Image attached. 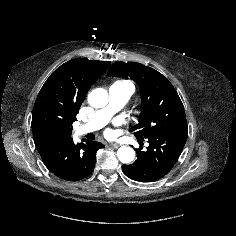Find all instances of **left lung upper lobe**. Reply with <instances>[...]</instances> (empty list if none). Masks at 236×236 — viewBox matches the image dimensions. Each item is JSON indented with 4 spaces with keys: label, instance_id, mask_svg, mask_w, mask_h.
I'll return each instance as SVG.
<instances>
[{
    "label": "left lung upper lobe",
    "instance_id": "1",
    "mask_svg": "<svg viewBox=\"0 0 236 236\" xmlns=\"http://www.w3.org/2000/svg\"><path fill=\"white\" fill-rule=\"evenodd\" d=\"M108 76L130 77L141 92L139 123L131 128L137 139L187 126L182 101L170 81L151 67L136 62H116Z\"/></svg>",
    "mask_w": 236,
    "mask_h": 236
}]
</instances>
